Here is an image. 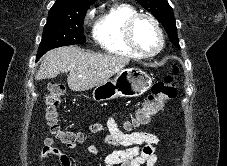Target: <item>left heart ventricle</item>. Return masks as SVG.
I'll use <instances>...</instances> for the list:
<instances>
[{
    "instance_id": "b2bd125f",
    "label": "left heart ventricle",
    "mask_w": 227,
    "mask_h": 166,
    "mask_svg": "<svg viewBox=\"0 0 227 166\" xmlns=\"http://www.w3.org/2000/svg\"><path fill=\"white\" fill-rule=\"evenodd\" d=\"M134 37L139 48L144 52L154 51L159 42L157 31L147 19H141L134 28Z\"/></svg>"
}]
</instances>
